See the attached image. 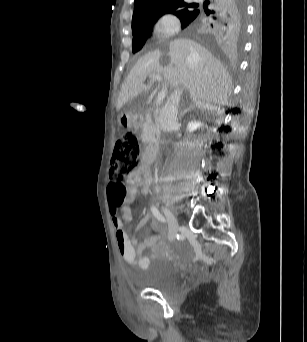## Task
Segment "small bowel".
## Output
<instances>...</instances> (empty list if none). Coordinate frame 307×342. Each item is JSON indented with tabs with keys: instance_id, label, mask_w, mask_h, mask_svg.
<instances>
[{
	"instance_id": "1",
	"label": "small bowel",
	"mask_w": 307,
	"mask_h": 342,
	"mask_svg": "<svg viewBox=\"0 0 307 342\" xmlns=\"http://www.w3.org/2000/svg\"><path fill=\"white\" fill-rule=\"evenodd\" d=\"M130 196L133 197L137 188H140L142 194H147L149 190V174L146 168L142 167L136 170L129 179ZM116 210L111 206V213L114 214ZM124 214H130V210L127 207L123 208ZM131 215V214H130ZM151 215L147 213L140 220L136 231L145 227L150 220ZM124 219V218H123ZM116 215L112 216V226L115 233V239L117 247L122 258L130 265L138 264L142 269L148 268L150 264V258L142 255L146 247H152L154 249L153 254H158V249L162 246L165 233L158 222L153 223L155 230L161 231L158 237L151 236L149 232H146L144 242H139L136 236L129 237L124 229V220ZM139 257V259H137Z\"/></svg>"
}]
</instances>
